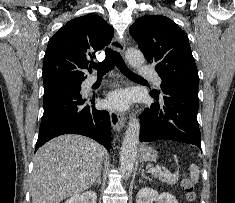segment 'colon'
Here are the masks:
<instances>
[{
	"instance_id": "obj_1",
	"label": "colon",
	"mask_w": 235,
	"mask_h": 203,
	"mask_svg": "<svg viewBox=\"0 0 235 203\" xmlns=\"http://www.w3.org/2000/svg\"><path fill=\"white\" fill-rule=\"evenodd\" d=\"M183 187H184V189L186 191L187 198L189 200H193L195 198V194H194V190H193V184L191 183V181L186 179L183 182Z\"/></svg>"
}]
</instances>
